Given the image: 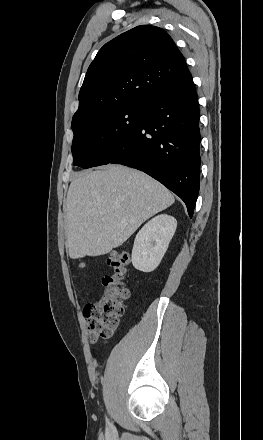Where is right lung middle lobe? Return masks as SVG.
Segmentation results:
<instances>
[{
    "mask_svg": "<svg viewBox=\"0 0 263 440\" xmlns=\"http://www.w3.org/2000/svg\"><path fill=\"white\" fill-rule=\"evenodd\" d=\"M145 116L144 102H133L93 114L72 128L74 165H105L117 145L124 142Z\"/></svg>",
    "mask_w": 263,
    "mask_h": 440,
    "instance_id": "right-lung-middle-lobe-1",
    "label": "right lung middle lobe"
}]
</instances>
